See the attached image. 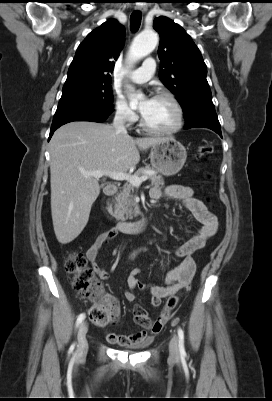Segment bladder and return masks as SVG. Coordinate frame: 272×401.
Instances as JSON below:
<instances>
[{
	"mask_svg": "<svg viewBox=\"0 0 272 401\" xmlns=\"http://www.w3.org/2000/svg\"><path fill=\"white\" fill-rule=\"evenodd\" d=\"M140 347H142V345H137V346H136V348H140Z\"/></svg>",
	"mask_w": 272,
	"mask_h": 401,
	"instance_id": "1",
	"label": "bladder"
}]
</instances>
